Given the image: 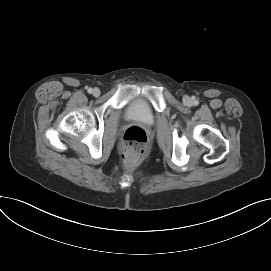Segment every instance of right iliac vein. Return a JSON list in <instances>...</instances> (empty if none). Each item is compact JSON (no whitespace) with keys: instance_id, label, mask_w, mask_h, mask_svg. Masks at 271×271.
<instances>
[{"instance_id":"right-iliac-vein-1","label":"right iliac vein","mask_w":271,"mask_h":271,"mask_svg":"<svg viewBox=\"0 0 271 271\" xmlns=\"http://www.w3.org/2000/svg\"><path fill=\"white\" fill-rule=\"evenodd\" d=\"M92 93L95 97H98L100 95V90L98 88H94Z\"/></svg>"}]
</instances>
